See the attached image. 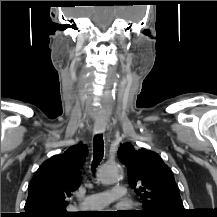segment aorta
Segmentation results:
<instances>
[{"mask_svg": "<svg viewBox=\"0 0 217 217\" xmlns=\"http://www.w3.org/2000/svg\"><path fill=\"white\" fill-rule=\"evenodd\" d=\"M99 179L103 184H111L119 179V166L116 164H105L100 168Z\"/></svg>", "mask_w": 217, "mask_h": 217, "instance_id": "aorta-1", "label": "aorta"}]
</instances>
